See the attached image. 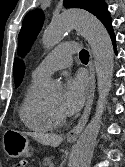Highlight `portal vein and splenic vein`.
<instances>
[{"mask_svg":"<svg viewBox=\"0 0 125 167\" xmlns=\"http://www.w3.org/2000/svg\"><path fill=\"white\" fill-rule=\"evenodd\" d=\"M49 167H54V164H53V163H51Z\"/></svg>","mask_w":125,"mask_h":167,"instance_id":"1","label":"portal vein and splenic vein"}]
</instances>
